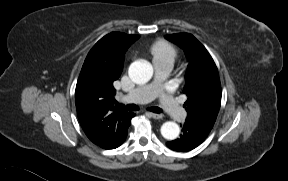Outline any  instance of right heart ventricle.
<instances>
[{
  "mask_svg": "<svg viewBox=\"0 0 288 181\" xmlns=\"http://www.w3.org/2000/svg\"><path fill=\"white\" fill-rule=\"evenodd\" d=\"M150 52L153 56V61L169 60L174 63L177 57V49L165 41L155 42L152 45Z\"/></svg>",
  "mask_w": 288,
  "mask_h": 181,
  "instance_id": "right-heart-ventricle-1",
  "label": "right heart ventricle"
}]
</instances>
